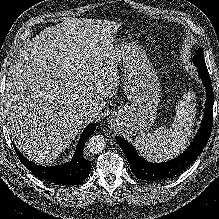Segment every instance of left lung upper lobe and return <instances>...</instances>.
Instances as JSON below:
<instances>
[{"mask_svg":"<svg viewBox=\"0 0 219 219\" xmlns=\"http://www.w3.org/2000/svg\"><path fill=\"white\" fill-rule=\"evenodd\" d=\"M193 63L194 65H203L206 66L204 56H203V50L199 49L197 53L193 57Z\"/></svg>","mask_w":219,"mask_h":219,"instance_id":"left-lung-upper-lobe-1","label":"left lung upper lobe"}]
</instances>
